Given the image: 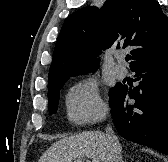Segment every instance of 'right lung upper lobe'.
Instances as JSON below:
<instances>
[{"label":"right lung upper lobe","mask_w":168,"mask_h":162,"mask_svg":"<svg viewBox=\"0 0 168 162\" xmlns=\"http://www.w3.org/2000/svg\"><path fill=\"white\" fill-rule=\"evenodd\" d=\"M133 48L135 64L168 48V18L153 0H107L69 15L58 37L48 85L95 70L101 49Z\"/></svg>","instance_id":"obj_1"}]
</instances>
